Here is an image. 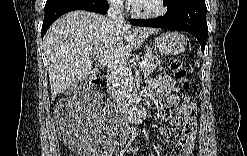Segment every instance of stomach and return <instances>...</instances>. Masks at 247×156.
<instances>
[{"mask_svg": "<svg viewBox=\"0 0 247 156\" xmlns=\"http://www.w3.org/2000/svg\"><path fill=\"white\" fill-rule=\"evenodd\" d=\"M187 40L179 32H166L155 38V47L165 55H176L184 51Z\"/></svg>", "mask_w": 247, "mask_h": 156, "instance_id": "1", "label": "stomach"}]
</instances>
